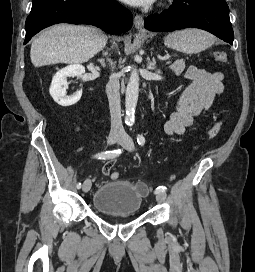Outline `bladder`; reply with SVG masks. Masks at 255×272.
<instances>
[{"mask_svg": "<svg viewBox=\"0 0 255 272\" xmlns=\"http://www.w3.org/2000/svg\"><path fill=\"white\" fill-rule=\"evenodd\" d=\"M94 208L106 216H134L142 205V193L126 180L109 181L93 194Z\"/></svg>", "mask_w": 255, "mask_h": 272, "instance_id": "31cf9c89", "label": "bladder"}]
</instances>
